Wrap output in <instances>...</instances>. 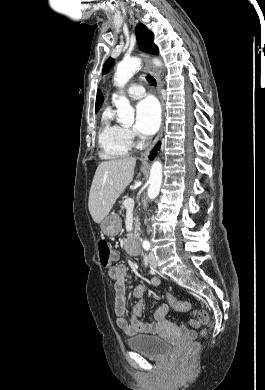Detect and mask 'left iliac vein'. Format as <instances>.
Instances as JSON below:
<instances>
[{
    "mask_svg": "<svg viewBox=\"0 0 265 390\" xmlns=\"http://www.w3.org/2000/svg\"><path fill=\"white\" fill-rule=\"evenodd\" d=\"M149 262H150V266L155 268L156 267V260H155V256L154 254L151 252L149 253Z\"/></svg>",
    "mask_w": 265,
    "mask_h": 390,
    "instance_id": "4c4485c4",
    "label": "left iliac vein"
}]
</instances>
